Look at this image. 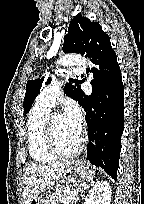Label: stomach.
<instances>
[{
    "label": "stomach",
    "mask_w": 144,
    "mask_h": 204,
    "mask_svg": "<svg viewBox=\"0 0 144 204\" xmlns=\"http://www.w3.org/2000/svg\"><path fill=\"white\" fill-rule=\"evenodd\" d=\"M93 175L94 171L81 161L72 163L66 168L62 177L56 183L40 188L30 204H47L48 202L53 201L52 195L58 188H60L61 184L80 188L79 182L82 179L89 181L93 178Z\"/></svg>",
    "instance_id": "1"
}]
</instances>
